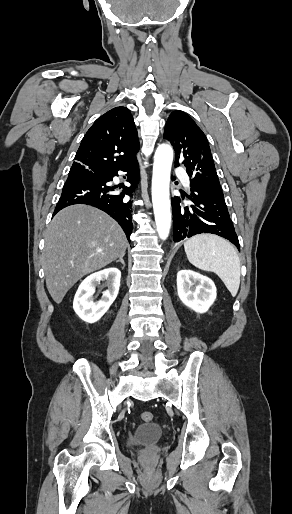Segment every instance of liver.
I'll return each mask as SVG.
<instances>
[{
    "label": "liver",
    "instance_id": "6515ba94",
    "mask_svg": "<svg viewBox=\"0 0 292 514\" xmlns=\"http://www.w3.org/2000/svg\"><path fill=\"white\" fill-rule=\"evenodd\" d=\"M44 240L42 268L56 304H61L83 276L125 256L127 248L119 224L102 210L85 204L68 206L56 214L45 230Z\"/></svg>",
    "mask_w": 292,
    "mask_h": 514
}]
</instances>
